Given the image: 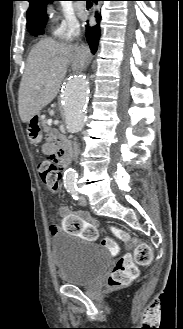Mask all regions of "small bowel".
Listing matches in <instances>:
<instances>
[{
	"label": "small bowel",
	"mask_w": 183,
	"mask_h": 329,
	"mask_svg": "<svg viewBox=\"0 0 183 329\" xmlns=\"http://www.w3.org/2000/svg\"><path fill=\"white\" fill-rule=\"evenodd\" d=\"M53 146V142L49 141L43 146V151L48 155H52L54 153ZM59 212L62 219H71L72 216L81 219L65 220L64 230L66 232V236H81V242H96V236H99L100 231L99 225H97V220L94 217L86 212L73 213L65 206L60 207ZM61 228V224H58L52 220L49 225L50 235L55 236Z\"/></svg>",
	"instance_id": "c3829d8e"
}]
</instances>
